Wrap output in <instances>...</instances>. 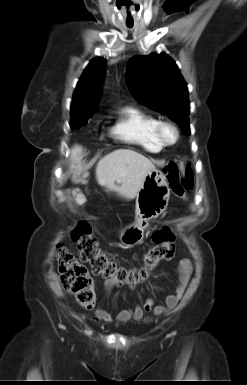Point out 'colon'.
<instances>
[{"label": "colon", "mask_w": 247, "mask_h": 385, "mask_svg": "<svg viewBox=\"0 0 247 385\" xmlns=\"http://www.w3.org/2000/svg\"><path fill=\"white\" fill-rule=\"evenodd\" d=\"M165 172L174 195L184 197L186 191L193 188V175L189 167L180 170L171 162L166 166ZM72 239L78 244L80 257L77 258L65 247L59 246L58 269L63 288L84 308L95 305L96 294L93 279L83 263L91 266L94 275L113 284L134 287L145 282L160 262L169 261L175 255V236L167 226L153 233L154 246L145 254L143 265L139 268H127L109 258L85 222L75 227Z\"/></svg>", "instance_id": "obj_1"}]
</instances>
